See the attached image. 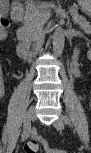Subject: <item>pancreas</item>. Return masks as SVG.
Segmentation results:
<instances>
[{
    "instance_id": "1",
    "label": "pancreas",
    "mask_w": 91,
    "mask_h": 153,
    "mask_svg": "<svg viewBox=\"0 0 91 153\" xmlns=\"http://www.w3.org/2000/svg\"><path fill=\"white\" fill-rule=\"evenodd\" d=\"M73 21L78 23L86 33L90 32V23L85 20L84 17L79 16L77 10H70ZM43 24V11L41 9H37L33 11L24 21V25L21 28V31L24 32L25 38L28 41H32L33 37Z\"/></svg>"
}]
</instances>
